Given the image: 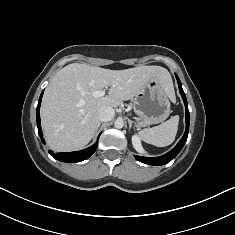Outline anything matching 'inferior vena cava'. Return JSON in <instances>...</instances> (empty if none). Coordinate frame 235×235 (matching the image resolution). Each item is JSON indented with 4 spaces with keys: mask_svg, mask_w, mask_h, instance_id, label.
<instances>
[{
    "mask_svg": "<svg viewBox=\"0 0 235 235\" xmlns=\"http://www.w3.org/2000/svg\"><path fill=\"white\" fill-rule=\"evenodd\" d=\"M114 115H115V111L112 107L104 106L98 112V119L101 122H106V121L112 120Z\"/></svg>",
    "mask_w": 235,
    "mask_h": 235,
    "instance_id": "inferior-vena-cava-1",
    "label": "inferior vena cava"
}]
</instances>
